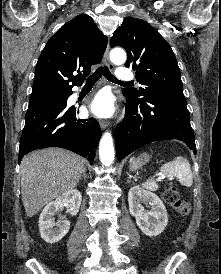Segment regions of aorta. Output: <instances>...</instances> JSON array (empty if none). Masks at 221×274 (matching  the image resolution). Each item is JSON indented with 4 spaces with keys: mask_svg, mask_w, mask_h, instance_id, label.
<instances>
[{
    "mask_svg": "<svg viewBox=\"0 0 221 274\" xmlns=\"http://www.w3.org/2000/svg\"><path fill=\"white\" fill-rule=\"evenodd\" d=\"M110 59L114 64L121 65L126 61V53L121 48H115L110 52ZM113 139L109 132H106L99 143V157L101 163L110 166L114 161Z\"/></svg>",
    "mask_w": 221,
    "mask_h": 274,
    "instance_id": "1",
    "label": "aorta"
}]
</instances>
